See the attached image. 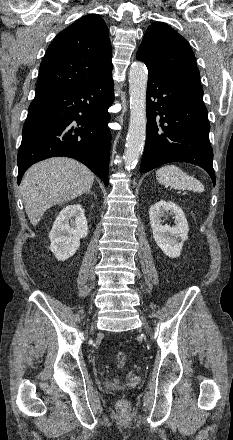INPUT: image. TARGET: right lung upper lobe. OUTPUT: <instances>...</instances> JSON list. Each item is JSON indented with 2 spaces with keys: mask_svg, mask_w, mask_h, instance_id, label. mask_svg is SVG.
<instances>
[{
  "mask_svg": "<svg viewBox=\"0 0 233 440\" xmlns=\"http://www.w3.org/2000/svg\"><path fill=\"white\" fill-rule=\"evenodd\" d=\"M108 27L89 14L61 31L41 62L36 95L98 82L112 72Z\"/></svg>",
  "mask_w": 233,
  "mask_h": 440,
  "instance_id": "right-lung-upper-lobe-1",
  "label": "right lung upper lobe"
}]
</instances>
